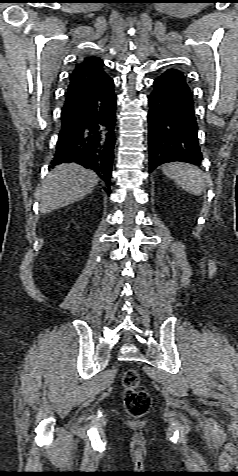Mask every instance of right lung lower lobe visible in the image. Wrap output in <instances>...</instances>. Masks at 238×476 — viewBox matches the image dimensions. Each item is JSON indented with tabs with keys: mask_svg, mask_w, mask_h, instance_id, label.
Here are the masks:
<instances>
[{
	"mask_svg": "<svg viewBox=\"0 0 238 476\" xmlns=\"http://www.w3.org/2000/svg\"><path fill=\"white\" fill-rule=\"evenodd\" d=\"M114 82L108 77L92 93L79 102L65 107L61 113L52 165L75 162L93 169L106 183L110 192L115 145L116 95Z\"/></svg>",
	"mask_w": 238,
	"mask_h": 476,
	"instance_id": "98d812e1",
	"label": "right lung lower lobe"
}]
</instances>
